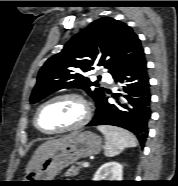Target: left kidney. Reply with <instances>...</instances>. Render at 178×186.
I'll return each instance as SVG.
<instances>
[{
	"label": "left kidney",
	"mask_w": 178,
	"mask_h": 186,
	"mask_svg": "<svg viewBox=\"0 0 178 186\" xmlns=\"http://www.w3.org/2000/svg\"><path fill=\"white\" fill-rule=\"evenodd\" d=\"M123 167L115 161L104 163L96 171L93 181H122Z\"/></svg>",
	"instance_id": "5707ae66"
}]
</instances>
